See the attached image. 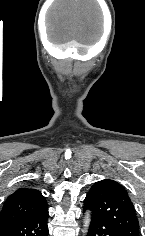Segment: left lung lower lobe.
<instances>
[{
  "label": "left lung lower lobe",
  "mask_w": 145,
  "mask_h": 236,
  "mask_svg": "<svg viewBox=\"0 0 145 236\" xmlns=\"http://www.w3.org/2000/svg\"><path fill=\"white\" fill-rule=\"evenodd\" d=\"M86 209H84L85 211ZM87 236H122L115 228L97 216L92 215Z\"/></svg>",
  "instance_id": "0a47b994"
}]
</instances>
